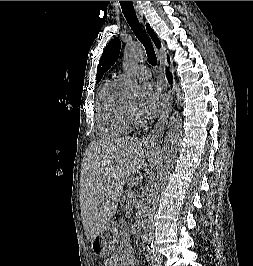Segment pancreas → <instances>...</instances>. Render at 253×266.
<instances>
[{
  "label": "pancreas",
  "mask_w": 253,
  "mask_h": 266,
  "mask_svg": "<svg viewBox=\"0 0 253 266\" xmlns=\"http://www.w3.org/2000/svg\"><path fill=\"white\" fill-rule=\"evenodd\" d=\"M137 202L138 194L131 188H128L121 198V203H126L128 207L134 208Z\"/></svg>",
  "instance_id": "cf45deb5"
}]
</instances>
